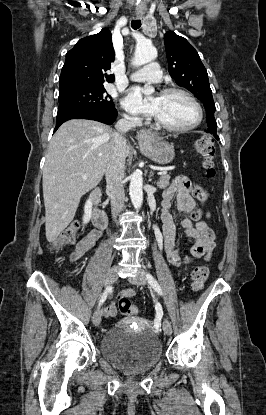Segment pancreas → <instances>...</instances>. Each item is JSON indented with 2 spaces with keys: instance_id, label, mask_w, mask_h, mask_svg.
Segmentation results:
<instances>
[{
  "instance_id": "obj_1",
  "label": "pancreas",
  "mask_w": 266,
  "mask_h": 415,
  "mask_svg": "<svg viewBox=\"0 0 266 415\" xmlns=\"http://www.w3.org/2000/svg\"><path fill=\"white\" fill-rule=\"evenodd\" d=\"M170 176L167 174L160 175L159 180L157 181V186L159 188H166L169 185Z\"/></svg>"
}]
</instances>
